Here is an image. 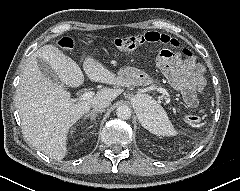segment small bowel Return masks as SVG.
I'll return each mask as SVG.
<instances>
[{
    "label": "small bowel",
    "instance_id": "small-bowel-1",
    "mask_svg": "<svg viewBox=\"0 0 240 191\" xmlns=\"http://www.w3.org/2000/svg\"><path fill=\"white\" fill-rule=\"evenodd\" d=\"M165 73L172 86L179 90L190 107L198 104L197 92L206 86L203 66L194 57L182 60L178 55L171 57Z\"/></svg>",
    "mask_w": 240,
    "mask_h": 191
}]
</instances>
